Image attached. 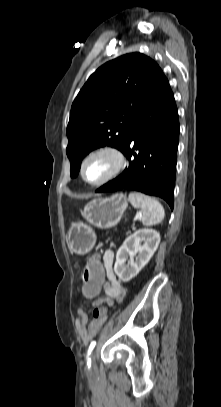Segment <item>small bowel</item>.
<instances>
[{
	"instance_id": "1",
	"label": "small bowel",
	"mask_w": 221,
	"mask_h": 407,
	"mask_svg": "<svg viewBox=\"0 0 221 407\" xmlns=\"http://www.w3.org/2000/svg\"><path fill=\"white\" fill-rule=\"evenodd\" d=\"M115 255L112 250H106L103 254V265L106 273V284L104 285L105 299L102 297H95L91 303V308L95 310L97 305H103L104 302L111 306L115 301L122 302L125 296L124 289L121 282L116 277L113 270ZM83 293V290H82ZM97 296L100 292H96ZM78 318L76 321V327L80 336V339L87 343L100 329L105 318L95 317L90 320L87 312L80 308L77 311Z\"/></svg>"
}]
</instances>
